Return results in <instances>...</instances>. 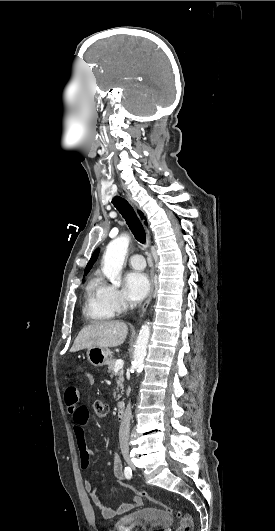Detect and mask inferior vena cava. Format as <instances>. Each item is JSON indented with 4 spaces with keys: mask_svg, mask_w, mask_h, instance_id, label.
Listing matches in <instances>:
<instances>
[{
    "mask_svg": "<svg viewBox=\"0 0 275 531\" xmlns=\"http://www.w3.org/2000/svg\"><path fill=\"white\" fill-rule=\"evenodd\" d=\"M130 419H131V405L128 403L121 425L119 427V443L120 449H129V433H130Z\"/></svg>",
    "mask_w": 275,
    "mask_h": 531,
    "instance_id": "602c4592",
    "label": "inferior vena cava"
}]
</instances>
